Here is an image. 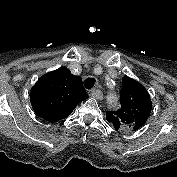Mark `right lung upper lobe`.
<instances>
[{
	"label": "right lung upper lobe",
	"mask_w": 177,
	"mask_h": 177,
	"mask_svg": "<svg viewBox=\"0 0 177 177\" xmlns=\"http://www.w3.org/2000/svg\"><path fill=\"white\" fill-rule=\"evenodd\" d=\"M87 98L81 78L65 67L42 76L30 93L34 112L49 122L66 118L78 103Z\"/></svg>",
	"instance_id": "cb5924a9"
}]
</instances>
